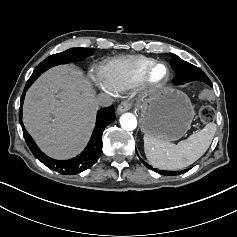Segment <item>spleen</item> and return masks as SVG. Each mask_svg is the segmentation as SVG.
Wrapping results in <instances>:
<instances>
[{"label": "spleen", "mask_w": 237, "mask_h": 237, "mask_svg": "<svg viewBox=\"0 0 237 237\" xmlns=\"http://www.w3.org/2000/svg\"><path fill=\"white\" fill-rule=\"evenodd\" d=\"M216 124L209 123L202 130L193 133L186 140L173 144L144 135V152L147 160L162 170H178L197 161L209 148Z\"/></svg>", "instance_id": "1"}]
</instances>
